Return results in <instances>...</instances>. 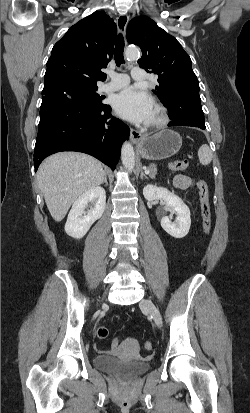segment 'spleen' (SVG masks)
I'll return each instance as SVG.
<instances>
[{
	"mask_svg": "<svg viewBox=\"0 0 250 413\" xmlns=\"http://www.w3.org/2000/svg\"><path fill=\"white\" fill-rule=\"evenodd\" d=\"M199 162L202 165L210 164L212 160V153L208 145L203 144L198 150Z\"/></svg>",
	"mask_w": 250,
	"mask_h": 413,
	"instance_id": "spleen-1",
	"label": "spleen"
}]
</instances>
